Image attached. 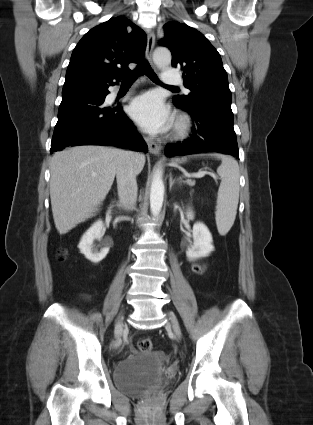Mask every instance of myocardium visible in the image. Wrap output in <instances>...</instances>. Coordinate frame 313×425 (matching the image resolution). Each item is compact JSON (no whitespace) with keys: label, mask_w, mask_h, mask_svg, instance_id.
Instances as JSON below:
<instances>
[{"label":"myocardium","mask_w":313,"mask_h":425,"mask_svg":"<svg viewBox=\"0 0 313 425\" xmlns=\"http://www.w3.org/2000/svg\"><path fill=\"white\" fill-rule=\"evenodd\" d=\"M190 120L186 116H179L174 125V134L177 137H183L190 131Z\"/></svg>","instance_id":"f54148a6"}]
</instances>
